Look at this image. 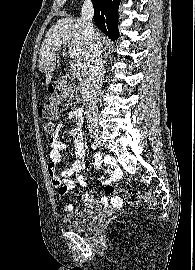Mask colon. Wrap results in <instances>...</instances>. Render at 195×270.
I'll return each instance as SVG.
<instances>
[{
    "mask_svg": "<svg viewBox=\"0 0 195 270\" xmlns=\"http://www.w3.org/2000/svg\"><path fill=\"white\" fill-rule=\"evenodd\" d=\"M79 86V80L72 77L64 78L60 83L53 87L52 96L42 102L38 108V114L46 121L43 129L46 134L52 135L55 131L54 121L59 116V104L70 98ZM126 200L129 204H139L142 200L150 205H155V198L150 194L142 195L136 189H129L126 192Z\"/></svg>",
    "mask_w": 195,
    "mask_h": 270,
    "instance_id": "5ec220e1",
    "label": "colon"
}]
</instances>
